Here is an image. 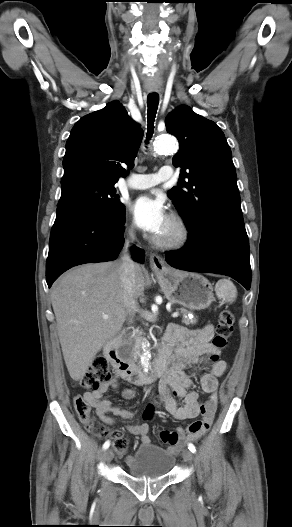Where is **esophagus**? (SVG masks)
<instances>
[{"label": "esophagus", "instance_id": "34e87169", "mask_svg": "<svg viewBox=\"0 0 292 527\" xmlns=\"http://www.w3.org/2000/svg\"><path fill=\"white\" fill-rule=\"evenodd\" d=\"M150 267L154 272H163L167 269L164 259L157 255L151 254L149 258Z\"/></svg>", "mask_w": 292, "mask_h": 527}]
</instances>
